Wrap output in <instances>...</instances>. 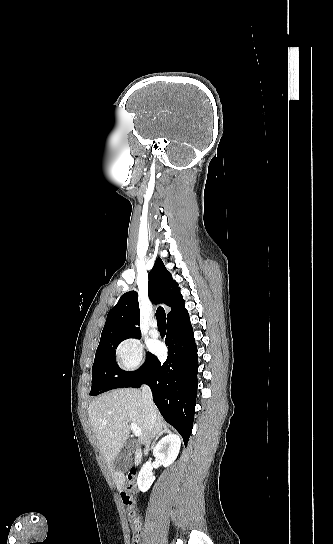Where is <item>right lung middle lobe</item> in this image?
Segmentation results:
<instances>
[{
    "label": "right lung middle lobe",
    "mask_w": 333,
    "mask_h": 544,
    "mask_svg": "<svg viewBox=\"0 0 333 544\" xmlns=\"http://www.w3.org/2000/svg\"><path fill=\"white\" fill-rule=\"evenodd\" d=\"M127 338L131 337L116 336L100 339L92 367V387L90 395L95 396L111 389L129 387L131 384L141 379L148 359L151 356L150 353L146 354L145 363L138 370L132 372L120 369L115 360V349Z\"/></svg>",
    "instance_id": "1"
}]
</instances>
